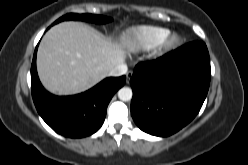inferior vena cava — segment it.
Returning <instances> with one entry per match:
<instances>
[{
    "label": "inferior vena cava",
    "instance_id": "1",
    "mask_svg": "<svg viewBox=\"0 0 248 165\" xmlns=\"http://www.w3.org/2000/svg\"><path fill=\"white\" fill-rule=\"evenodd\" d=\"M127 70H128V67L126 64L124 63H121V64H118L117 66H115L114 68H112L108 75L109 76H121V75H124L127 73Z\"/></svg>",
    "mask_w": 248,
    "mask_h": 165
}]
</instances>
